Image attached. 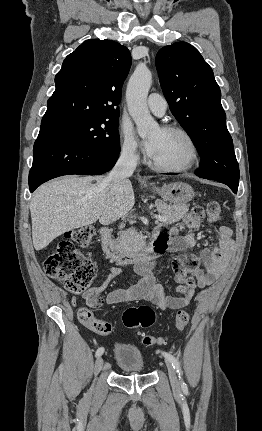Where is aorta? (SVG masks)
<instances>
[{
  "label": "aorta",
  "mask_w": 262,
  "mask_h": 431,
  "mask_svg": "<svg viewBox=\"0 0 262 431\" xmlns=\"http://www.w3.org/2000/svg\"><path fill=\"white\" fill-rule=\"evenodd\" d=\"M152 83V74L145 66H138L130 77L126 100L129 114L134 120L140 137H146L157 127L147 106V96Z\"/></svg>",
  "instance_id": "aorta-1"
}]
</instances>
